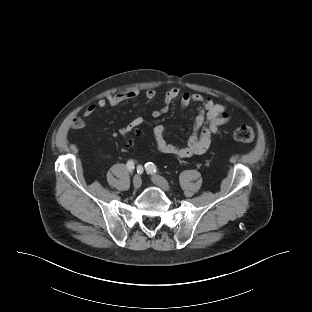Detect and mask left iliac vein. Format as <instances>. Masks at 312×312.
Listing matches in <instances>:
<instances>
[{"mask_svg": "<svg viewBox=\"0 0 312 312\" xmlns=\"http://www.w3.org/2000/svg\"><path fill=\"white\" fill-rule=\"evenodd\" d=\"M152 182L154 184L158 185L159 187H161L162 189H164L165 191L170 190V186H169L168 182L163 177H161L159 175L152 176Z\"/></svg>", "mask_w": 312, "mask_h": 312, "instance_id": "1", "label": "left iliac vein"}]
</instances>
